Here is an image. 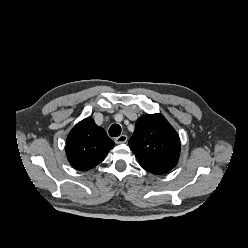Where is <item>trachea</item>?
Wrapping results in <instances>:
<instances>
[{
    "instance_id": "1",
    "label": "trachea",
    "mask_w": 248,
    "mask_h": 248,
    "mask_svg": "<svg viewBox=\"0 0 248 248\" xmlns=\"http://www.w3.org/2000/svg\"><path fill=\"white\" fill-rule=\"evenodd\" d=\"M121 134V127L118 124H113L109 128V135L112 137H118Z\"/></svg>"
}]
</instances>
